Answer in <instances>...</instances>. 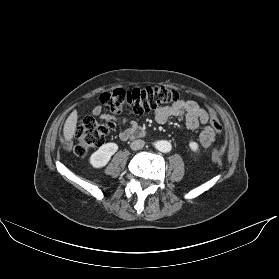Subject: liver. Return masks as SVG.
<instances>
[{
    "label": "liver",
    "mask_w": 279,
    "mask_h": 279,
    "mask_svg": "<svg viewBox=\"0 0 279 279\" xmlns=\"http://www.w3.org/2000/svg\"><path fill=\"white\" fill-rule=\"evenodd\" d=\"M77 111L73 110L71 112V114L68 116L65 124H64V128H63V136L65 141L70 142L76 132V125H77Z\"/></svg>",
    "instance_id": "1"
}]
</instances>
